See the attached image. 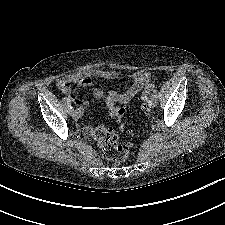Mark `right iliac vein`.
Segmentation results:
<instances>
[{"mask_svg": "<svg viewBox=\"0 0 225 225\" xmlns=\"http://www.w3.org/2000/svg\"><path fill=\"white\" fill-rule=\"evenodd\" d=\"M72 117L74 119H79V117L81 116V113L78 111V110H73L72 113H71Z\"/></svg>", "mask_w": 225, "mask_h": 225, "instance_id": "1", "label": "right iliac vein"}]
</instances>
